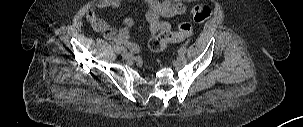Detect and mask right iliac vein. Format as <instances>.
<instances>
[{
	"mask_svg": "<svg viewBox=\"0 0 303 127\" xmlns=\"http://www.w3.org/2000/svg\"><path fill=\"white\" fill-rule=\"evenodd\" d=\"M122 57L126 60H132L133 57L126 50L121 53Z\"/></svg>",
	"mask_w": 303,
	"mask_h": 127,
	"instance_id": "63e3f726",
	"label": "right iliac vein"
}]
</instances>
